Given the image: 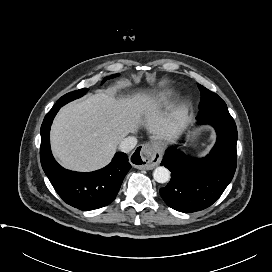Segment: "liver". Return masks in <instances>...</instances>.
Listing matches in <instances>:
<instances>
[{
    "instance_id": "liver-1",
    "label": "liver",
    "mask_w": 272,
    "mask_h": 272,
    "mask_svg": "<svg viewBox=\"0 0 272 272\" xmlns=\"http://www.w3.org/2000/svg\"><path fill=\"white\" fill-rule=\"evenodd\" d=\"M178 119L175 113H161L147 94L101 91L60 109L51 128V148L65 168L90 172L106 166L129 133L144 127L151 139L166 140L177 133Z\"/></svg>"
}]
</instances>
